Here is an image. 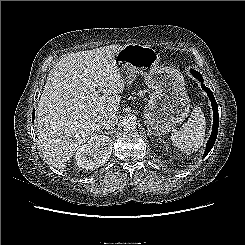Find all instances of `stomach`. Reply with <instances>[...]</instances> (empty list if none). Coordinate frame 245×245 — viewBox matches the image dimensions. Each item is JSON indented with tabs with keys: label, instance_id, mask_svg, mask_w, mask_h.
<instances>
[{
	"label": "stomach",
	"instance_id": "stomach-1",
	"mask_svg": "<svg viewBox=\"0 0 245 245\" xmlns=\"http://www.w3.org/2000/svg\"><path fill=\"white\" fill-rule=\"evenodd\" d=\"M125 84L130 85L136 74L144 76L154 90L144 116L153 132H171L183 122L190 111V100L182 74L170 67L159 66L160 57L150 46L126 44L114 58Z\"/></svg>",
	"mask_w": 245,
	"mask_h": 245
}]
</instances>
